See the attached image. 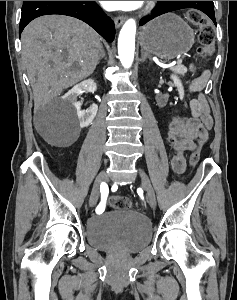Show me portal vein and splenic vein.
I'll return each instance as SVG.
<instances>
[{
    "mask_svg": "<svg viewBox=\"0 0 237 300\" xmlns=\"http://www.w3.org/2000/svg\"><path fill=\"white\" fill-rule=\"evenodd\" d=\"M184 62L182 61V58H178L177 59V62H176V66H182V64H183Z\"/></svg>",
    "mask_w": 237,
    "mask_h": 300,
    "instance_id": "1",
    "label": "portal vein and splenic vein"
}]
</instances>
